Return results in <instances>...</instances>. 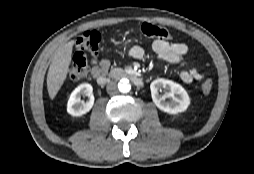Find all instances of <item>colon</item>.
I'll use <instances>...</instances> for the list:
<instances>
[{"label": "colon", "instance_id": "5ec220e1", "mask_svg": "<svg viewBox=\"0 0 254 174\" xmlns=\"http://www.w3.org/2000/svg\"><path fill=\"white\" fill-rule=\"evenodd\" d=\"M141 32L147 37L166 41L171 39V33L167 28L150 23L142 24ZM100 44L101 35L96 31H87L76 40L73 61L68 71V78L71 81H79L88 76L90 68L96 64ZM212 89V81L210 79L204 80L202 84L203 93L209 94Z\"/></svg>", "mask_w": 254, "mask_h": 174}]
</instances>
